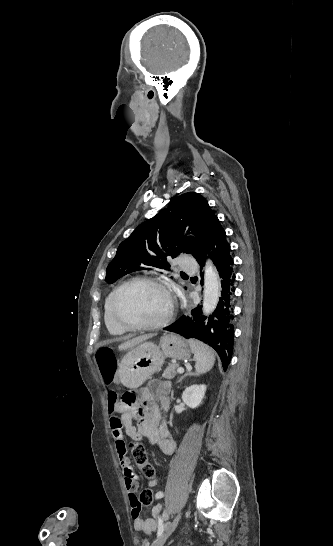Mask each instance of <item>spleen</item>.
Returning a JSON list of instances; mask_svg holds the SVG:
<instances>
[{
	"label": "spleen",
	"mask_w": 333,
	"mask_h": 546,
	"mask_svg": "<svg viewBox=\"0 0 333 546\" xmlns=\"http://www.w3.org/2000/svg\"><path fill=\"white\" fill-rule=\"evenodd\" d=\"M189 346L194 354L195 370L197 374H204L211 370L215 362L214 351L198 340H190Z\"/></svg>",
	"instance_id": "1"
}]
</instances>
